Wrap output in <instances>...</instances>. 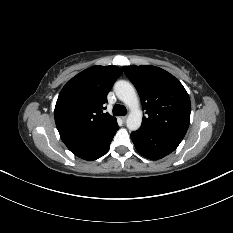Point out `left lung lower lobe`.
<instances>
[{"mask_svg":"<svg viewBox=\"0 0 233 233\" xmlns=\"http://www.w3.org/2000/svg\"><path fill=\"white\" fill-rule=\"evenodd\" d=\"M137 151L151 160H158L173 152L182 137L141 127L131 134Z\"/></svg>","mask_w":233,"mask_h":233,"instance_id":"obj_1","label":"left lung lower lobe"}]
</instances>
